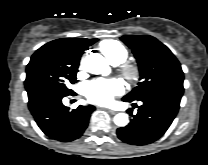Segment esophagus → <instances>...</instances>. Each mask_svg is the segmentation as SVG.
I'll list each match as a JSON object with an SVG mask.
<instances>
[{
	"label": "esophagus",
	"instance_id": "obj_1",
	"mask_svg": "<svg viewBox=\"0 0 208 165\" xmlns=\"http://www.w3.org/2000/svg\"><path fill=\"white\" fill-rule=\"evenodd\" d=\"M105 111H107L108 113H111V114H116L117 112L112 110V109H108V108H103Z\"/></svg>",
	"mask_w": 208,
	"mask_h": 165
}]
</instances>
